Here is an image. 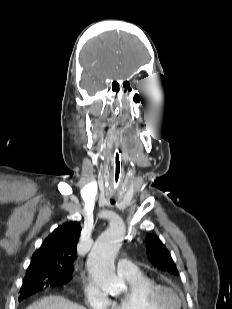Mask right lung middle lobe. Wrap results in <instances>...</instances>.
I'll return each mask as SVG.
<instances>
[{"label": "right lung middle lobe", "mask_w": 232, "mask_h": 309, "mask_svg": "<svg viewBox=\"0 0 232 309\" xmlns=\"http://www.w3.org/2000/svg\"><path fill=\"white\" fill-rule=\"evenodd\" d=\"M70 280L71 278L68 275L52 272H37L30 275H25L20 290L21 294L19 296V300L21 301L33 293H36L37 291L48 286L66 284Z\"/></svg>", "instance_id": "dd1d6c3e"}]
</instances>
